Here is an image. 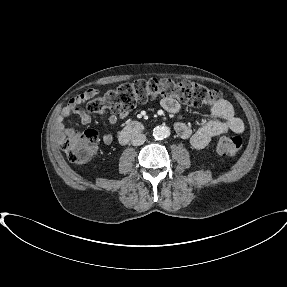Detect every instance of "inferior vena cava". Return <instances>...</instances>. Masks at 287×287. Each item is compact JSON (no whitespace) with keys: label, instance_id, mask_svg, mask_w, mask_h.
<instances>
[{"label":"inferior vena cava","instance_id":"inferior-vena-cava-1","mask_svg":"<svg viewBox=\"0 0 287 287\" xmlns=\"http://www.w3.org/2000/svg\"><path fill=\"white\" fill-rule=\"evenodd\" d=\"M145 141H146V136L144 134H141V133L135 134L131 139V143L133 146H140Z\"/></svg>","mask_w":287,"mask_h":287}]
</instances>
